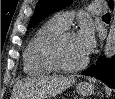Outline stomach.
Segmentation results:
<instances>
[{
	"instance_id": "obj_1",
	"label": "stomach",
	"mask_w": 115,
	"mask_h": 99,
	"mask_svg": "<svg viewBox=\"0 0 115 99\" xmlns=\"http://www.w3.org/2000/svg\"><path fill=\"white\" fill-rule=\"evenodd\" d=\"M76 89L80 95L87 96L94 92L95 86L89 82H81L77 85Z\"/></svg>"
}]
</instances>
